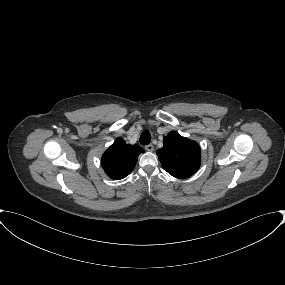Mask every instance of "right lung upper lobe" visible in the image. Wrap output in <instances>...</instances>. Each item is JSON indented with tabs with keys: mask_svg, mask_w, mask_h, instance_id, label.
<instances>
[{
	"mask_svg": "<svg viewBox=\"0 0 285 285\" xmlns=\"http://www.w3.org/2000/svg\"><path fill=\"white\" fill-rule=\"evenodd\" d=\"M143 152L138 145L126 144L122 138H117L104 152L102 167L110 178L123 179L134 169L139 154Z\"/></svg>",
	"mask_w": 285,
	"mask_h": 285,
	"instance_id": "obj_1",
	"label": "right lung upper lobe"
}]
</instances>
